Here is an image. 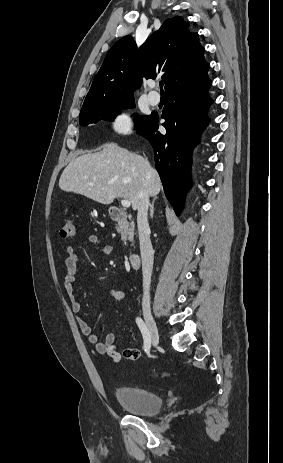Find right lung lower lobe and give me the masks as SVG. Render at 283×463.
Instances as JSON below:
<instances>
[{
    "label": "right lung lower lobe",
    "instance_id": "1",
    "mask_svg": "<svg viewBox=\"0 0 283 463\" xmlns=\"http://www.w3.org/2000/svg\"><path fill=\"white\" fill-rule=\"evenodd\" d=\"M210 86L211 81L205 75L193 83L168 90L162 113L166 133L158 131L157 113L149 115L137 130V134L148 139L153 146L155 166L165 195L177 215L190 183L192 150L208 122L206 111L212 103L207 95Z\"/></svg>",
    "mask_w": 283,
    "mask_h": 463
}]
</instances>
